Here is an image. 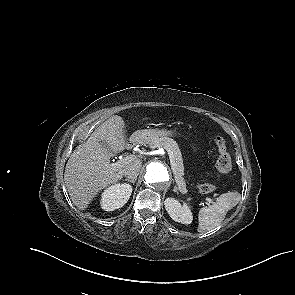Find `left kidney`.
Wrapping results in <instances>:
<instances>
[{
  "label": "left kidney",
  "instance_id": "1",
  "mask_svg": "<svg viewBox=\"0 0 295 295\" xmlns=\"http://www.w3.org/2000/svg\"><path fill=\"white\" fill-rule=\"evenodd\" d=\"M164 204L166 211L174 221L182 224H190L192 222L193 216L186 204L182 206L179 201L174 198H167Z\"/></svg>",
  "mask_w": 295,
  "mask_h": 295
}]
</instances>
